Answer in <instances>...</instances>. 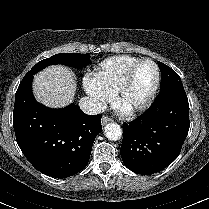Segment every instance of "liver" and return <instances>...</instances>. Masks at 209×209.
Segmentation results:
<instances>
[{"label": "liver", "instance_id": "6515ba94", "mask_svg": "<svg viewBox=\"0 0 209 209\" xmlns=\"http://www.w3.org/2000/svg\"><path fill=\"white\" fill-rule=\"evenodd\" d=\"M73 72L65 66L53 65L34 76L33 93L38 102L50 108L69 105L76 93Z\"/></svg>", "mask_w": 209, "mask_h": 209}]
</instances>
